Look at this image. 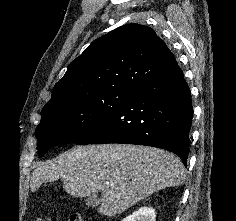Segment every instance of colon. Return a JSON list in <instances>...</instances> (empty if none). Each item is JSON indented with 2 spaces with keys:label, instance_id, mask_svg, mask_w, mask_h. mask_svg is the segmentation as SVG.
<instances>
[{
  "label": "colon",
  "instance_id": "obj_1",
  "mask_svg": "<svg viewBox=\"0 0 236 221\" xmlns=\"http://www.w3.org/2000/svg\"><path fill=\"white\" fill-rule=\"evenodd\" d=\"M35 221H50V219L49 218H38ZM68 221H83V219L79 215H72L69 217Z\"/></svg>",
  "mask_w": 236,
  "mask_h": 221
}]
</instances>
